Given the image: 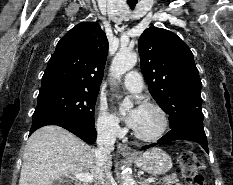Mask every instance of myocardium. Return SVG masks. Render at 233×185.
Instances as JSON below:
<instances>
[{"mask_svg":"<svg viewBox=\"0 0 233 185\" xmlns=\"http://www.w3.org/2000/svg\"><path fill=\"white\" fill-rule=\"evenodd\" d=\"M141 108H150V109L156 110L160 114V117L162 120L161 127L155 134L150 135V136L140 135L135 130H133V135L136 139L143 141V142H155L159 140L160 138H162L169 128L168 114L162 106L154 102H144L141 105Z\"/></svg>","mask_w":233,"mask_h":185,"instance_id":"f54148a6","label":"myocardium"}]
</instances>
